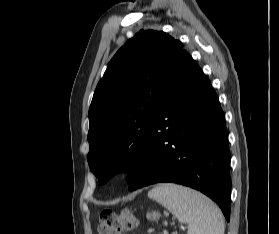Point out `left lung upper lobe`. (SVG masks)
Wrapping results in <instances>:
<instances>
[{
	"label": "left lung upper lobe",
	"instance_id": "obj_1",
	"mask_svg": "<svg viewBox=\"0 0 279 234\" xmlns=\"http://www.w3.org/2000/svg\"><path fill=\"white\" fill-rule=\"evenodd\" d=\"M182 52L183 44L165 32L141 30L109 62L89 108L87 159L101 184L122 169L130 182L139 169L155 110Z\"/></svg>",
	"mask_w": 279,
	"mask_h": 234
}]
</instances>
